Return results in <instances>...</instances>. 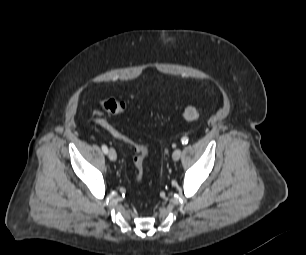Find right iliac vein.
<instances>
[{"instance_id": "obj_1", "label": "right iliac vein", "mask_w": 306, "mask_h": 255, "mask_svg": "<svg viewBox=\"0 0 306 255\" xmlns=\"http://www.w3.org/2000/svg\"><path fill=\"white\" fill-rule=\"evenodd\" d=\"M108 157L111 161H115L117 159V154L114 149H110L108 152Z\"/></svg>"}]
</instances>
